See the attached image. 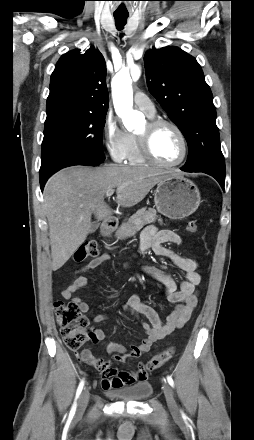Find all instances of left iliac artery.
Returning <instances> with one entry per match:
<instances>
[{
	"instance_id": "left-iliac-artery-1",
	"label": "left iliac artery",
	"mask_w": 254,
	"mask_h": 440,
	"mask_svg": "<svg viewBox=\"0 0 254 440\" xmlns=\"http://www.w3.org/2000/svg\"><path fill=\"white\" fill-rule=\"evenodd\" d=\"M167 381L172 387H174V381L171 376H167Z\"/></svg>"
}]
</instances>
